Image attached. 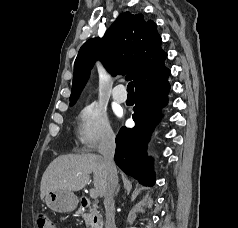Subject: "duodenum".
<instances>
[{"mask_svg": "<svg viewBox=\"0 0 238 228\" xmlns=\"http://www.w3.org/2000/svg\"><path fill=\"white\" fill-rule=\"evenodd\" d=\"M82 204L83 205H88L89 204V200L87 198H83L82 199Z\"/></svg>", "mask_w": 238, "mask_h": 228, "instance_id": "1", "label": "duodenum"}]
</instances>
